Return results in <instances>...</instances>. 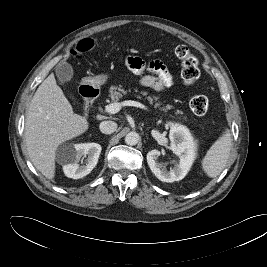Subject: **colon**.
<instances>
[{
  "mask_svg": "<svg viewBox=\"0 0 267 267\" xmlns=\"http://www.w3.org/2000/svg\"><path fill=\"white\" fill-rule=\"evenodd\" d=\"M95 46V41L86 38L81 40L74 53H84L90 51ZM175 54L181 63V77L186 85L194 84L199 78V66L197 58L190 50L183 45L177 46ZM189 106L196 115H204L209 110V100L205 95H194L189 100Z\"/></svg>",
  "mask_w": 267,
  "mask_h": 267,
  "instance_id": "1",
  "label": "colon"
}]
</instances>
